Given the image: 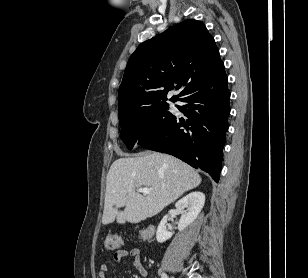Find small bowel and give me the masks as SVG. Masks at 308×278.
Here are the masks:
<instances>
[{
	"label": "small bowel",
	"instance_id": "obj_1",
	"mask_svg": "<svg viewBox=\"0 0 308 278\" xmlns=\"http://www.w3.org/2000/svg\"><path fill=\"white\" fill-rule=\"evenodd\" d=\"M113 258L116 262H122L127 259H132L133 265L138 273L143 277H147V271L142 263L141 251L139 248H132L130 250L118 249L114 252ZM109 265L108 263H102L100 266L99 278L108 277Z\"/></svg>",
	"mask_w": 308,
	"mask_h": 278
}]
</instances>
